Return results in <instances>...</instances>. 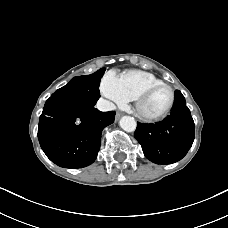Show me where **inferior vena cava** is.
Listing matches in <instances>:
<instances>
[{"label":"inferior vena cava","mask_w":228,"mask_h":228,"mask_svg":"<svg viewBox=\"0 0 228 228\" xmlns=\"http://www.w3.org/2000/svg\"><path fill=\"white\" fill-rule=\"evenodd\" d=\"M96 108L100 111H112L116 109V106L114 103L103 98H100L96 104Z\"/></svg>","instance_id":"1"}]
</instances>
